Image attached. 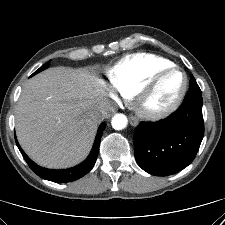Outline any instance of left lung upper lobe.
I'll list each match as a JSON object with an SVG mask.
<instances>
[{
	"label": "left lung upper lobe",
	"mask_w": 225,
	"mask_h": 225,
	"mask_svg": "<svg viewBox=\"0 0 225 225\" xmlns=\"http://www.w3.org/2000/svg\"><path fill=\"white\" fill-rule=\"evenodd\" d=\"M189 91L201 92L196 80L193 77L191 78V81H190Z\"/></svg>",
	"instance_id": "obj_1"
}]
</instances>
